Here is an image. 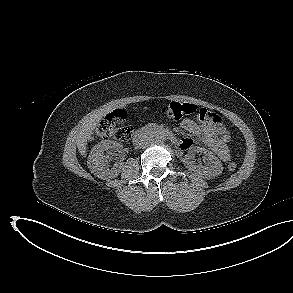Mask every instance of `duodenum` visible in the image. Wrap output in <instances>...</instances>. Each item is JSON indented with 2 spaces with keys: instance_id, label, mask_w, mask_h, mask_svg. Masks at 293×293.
<instances>
[{
  "instance_id": "1",
  "label": "duodenum",
  "mask_w": 293,
  "mask_h": 293,
  "mask_svg": "<svg viewBox=\"0 0 293 293\" xmlns=\"http://www.w3.org/2000/svg\"><path fill=\"white\" fill-rule=\"evenodd\" d=\"M151 134H157L166 137L173 143H175L178 147H180V143L177 141L175 135L171 131L160 127H147L137 131L132 137V143L135 146H138L146 137H148Z\"/></svg>"
}]
</instances>
